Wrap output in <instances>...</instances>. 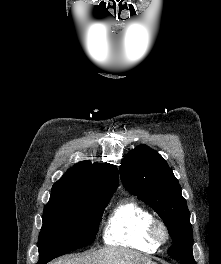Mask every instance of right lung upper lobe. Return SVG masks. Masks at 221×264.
<instances>
[{
  "label": "right lung upper lobe",
  "instance_id": "cb5924a9",
  "mask_svg": "<svg viewBox=\"0 0 221 264\" xmlns=\"http://www.w3.org/2000/svg\"><path fill=\"white\" fill-rule=\"evenodd\" d=\"M118 183L115 165L81 161L53 185L50 201L77 203L94 196L113 195Z\"/></svg>",
  "mask_w": 221,
  "mask_h": 264
}]
</instances>
